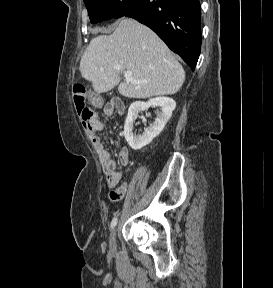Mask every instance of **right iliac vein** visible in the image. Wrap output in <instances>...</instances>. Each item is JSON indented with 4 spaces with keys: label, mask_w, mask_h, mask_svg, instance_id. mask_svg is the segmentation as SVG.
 <instances>
[{
    "label": "right iliac vein",
    "mask_w": 273,
    "mask_h": 288,
    "mask_svg": "<svg viewBox=\"0 0 273 288\" xmlns=\"http://www.w3.org/2000/svg\"><path fill=\"white\" fill-rule=\"evenodd\" d=\"M116 231L117 229L114 228L110 234L109 245L111 249H115L116 246Z\"/></svg>",
    "instance_id": "obj_1"
}]
</instances>
